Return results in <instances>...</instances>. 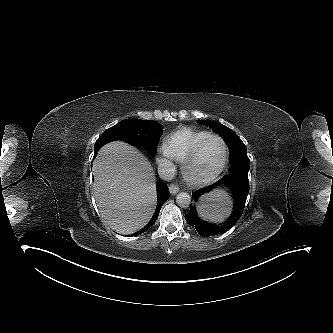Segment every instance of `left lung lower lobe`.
<instances>
[{"mask_svg":"<svg viewBox=\"0 0 333 333\" xmlns=\"http://www.w3.org/2000/svg\"><path fill=\"white\" fill-rule=\"evenodd\" d=\"M219 184H225L231 189L234 196L233 212L230 218L222 225H213L200 220L196 214L195 206L191 205L190 211L185 215V219L201 236L209 237L226 232L236 224L243 213L247 195L249 193V181L246 177L234 179L228 176H223L213 185L193 192L192 196L194 200L197 201L203 193L210 191Z\"/></svg>","mask_w":333,"mask_h":333,"instance_id":"1","label":"left lung lower lobe"}]
</instances>
